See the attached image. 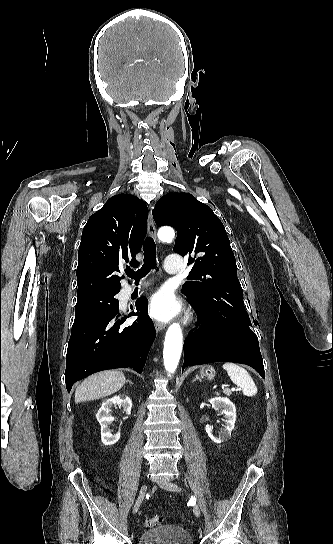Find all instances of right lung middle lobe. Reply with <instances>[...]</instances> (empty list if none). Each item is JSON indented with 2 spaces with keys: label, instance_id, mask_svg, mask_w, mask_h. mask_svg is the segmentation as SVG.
<instances>
[{
  "label": "right lung middle lobe",
  "instance_id": "dd1d6c3e",
  "mask_svg": "<svg viewBox=\"0 0 333 544\" xmlns=\"http://www.w3.org/2000/svg\"><path fill=\"white\" fill-rule=\"evenodd\" d=\"M117 293H101L77 300L72 330L84 326L102 315L118 310L119 302L114 298Z\"/></svg>",
  "mask_w": 333,
  "mask_h": 544
}]
</instances>
